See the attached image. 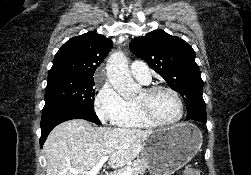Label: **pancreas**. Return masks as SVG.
I'll return each instance as SVG.
<instances>
[{"instance_id": "cf45deb5", "label": "pancreas", "mask_w": 251, "mask_h": 175, "mask_svg": "<svg viewBox=\"0 0 251 175\" xmlns=\"http://www.w3.org/2000/svg\"><path fill=\"white\" fill-rule=\"evenodd\" d=\"M130 169H132L131 175H144L146 171V165L142 159H134L132 163H129ZM127 167H121L120 171H125Z\"/></svg>"}]
</instances>
